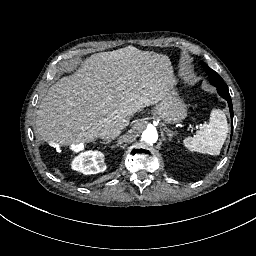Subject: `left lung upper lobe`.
I'll return each mask as SVG.
<instances>
[{
  "mask_svg": "<svg viewBox=\"0 0 256 256\" xmlns=\"http://www.w3.org/2000/svg\"><path fill=\"white\" fill-rule=\"evenodd\" d=\"M206 73L209 75L210 82L217 88L218 93L228 101L231 119L233 122V107H232V101L230 98V94L228 91L227 85L224 83L223 79L209 66L205 63H201ZM233 133V125H232V132Z\"/></svg>",
  "mask_w": 256,
  "mask_h": 256,
  "instance_id": "1",
  "label": "left lung upper lobe"
}]
</instances>
